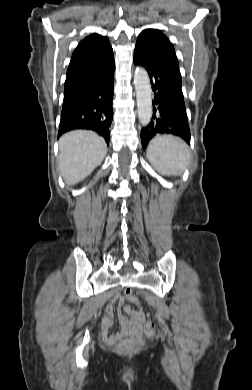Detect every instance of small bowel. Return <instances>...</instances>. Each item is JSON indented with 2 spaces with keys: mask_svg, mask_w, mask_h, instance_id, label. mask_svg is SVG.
Listing matches in <instances>:
<instances>
[{
  "mask_svg": "<svg viewBox=\"0 0 252 390\" xmlns=\"http://www.w3.org/2000/svg\"><path fill=\"white\" fill-rule=\"evenodd\" d=\"M114 300H118L120 308L123 311L119 310L118 320L121 323V330L113 335L112 338L118 339L120 337L128 336L131 334H140L143 329L146 330L147 325H145V314L142 310L136 311L130 306H123L124 297L114 294ZM105 318L103 320V331L109 333L110 327L112 324V313L113 306L112 303H108L105 307Z\"/></svg>",
  "mask_w": 252,
  "mask_h": 390,
  "instance_id": "obj_1",
  "label": "small bowel"
}]
</instances>
